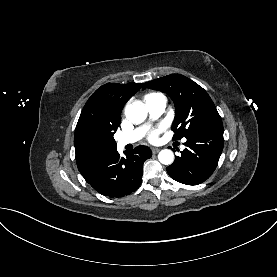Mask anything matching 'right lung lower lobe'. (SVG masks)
<instances>
[{
    "mask_svg": "<svg viewBox=\"0 0 277 277\" xmlns=\"http://www.w3.org/2000/svg\"><path fill=\"white\" fill-rule=\"evenodd\" d=\"M126 155L121 157L115 149L81 174L100 194L110 198L128 195L139 188L143 163L152 152L147 146H138Z\"/></svg>",
    "mask_w": 277,
    "mask_h": 277,
    "instance_id": "right-lung-lower-lobe-1",
    "label": "right lung lower lobe"
}]
</instances>
